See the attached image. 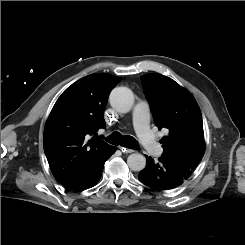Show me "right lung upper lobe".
Listing matches in <instances>:
<instances>
[{
  "label": "right lung upper lobe",
  "instance_id": "cb5924a9",
  "mask_svg": "<svg viewBox=\"0 0 245 245\" xmlns=\"http://www.w3.org/2000/svg\"><path fill=\"white\" fill-rule=\"evenodd\" d=\"M120 80L105 73L88 75L68 87L53 106L45 124L43 146L59 183L113 149L96 135L105 128L108 95Z\"/></svg>",
  "mask_w": 245,
  "mask_h": 245
}]
</instances>
